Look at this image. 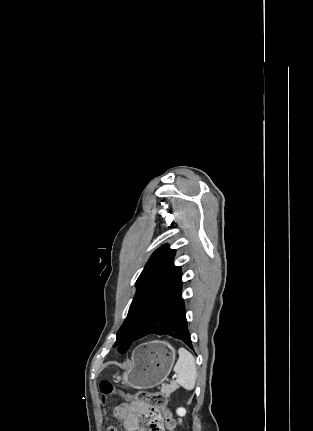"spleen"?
Returning a JSON list of instances; mask_svg holds the SVG:
<instances>
[{
    "label": "spleen",
    "instance_id": "1",
    "mask_svg": "<svg viewBox=\"0 0 313 431\" xmlns=\"http://www.w3.org/2000/svg\"><path fill=\"white\" fill-rule=\"evenodd\" d=\"M179 358L174 366L176 373V382L186 390H192L195 387L197 370L193 355L185 348L178 350Z\"/></svg>",
    "mask_w": 313,
    "mask_h": 431
}]
</instances>
